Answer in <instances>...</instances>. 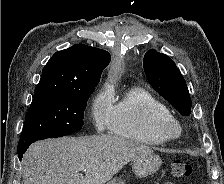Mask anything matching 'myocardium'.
Listing matches in <instances>:
<instances>
[{
  "label": "myocardium",
  "instance_id": "1",
  "mask_svg": "<svg viewBox=\"0 0 224 184\" xmlns=\"http://www.w3.org/2000/svg\"><path fill=\"white\" fill-rule=\"evenodd\" d=\"M155 131L164 140L170 141L181 135L182 126L180 122L171 115L158 119L156 122Z\"/></svg>",
  "mask_w": 224,
  "mask_h": 184
}]
</instances>
